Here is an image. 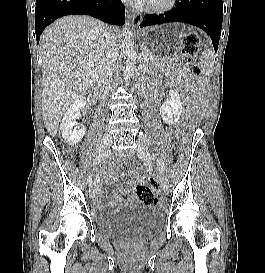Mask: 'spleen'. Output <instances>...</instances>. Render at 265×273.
I'll return each instance as SVG.
<instances>
[{
    "label": "spleen",
    "instance_id": "obj_1",
    "mask_svg": "<svg viewBox=\"0 0 265 273\" xmlns=\"http://www.w3.org/2000/svg\"><path fill=\"white\" fill-rule=\"evenodd\" d=\"M201 64L203 65V71L205 72V74L211 75L213 69V54L211 50L206 49L203 51Z\"/></svg>",
    "mask_w": 265,
    "mask_h": 273
}]
</instances>
